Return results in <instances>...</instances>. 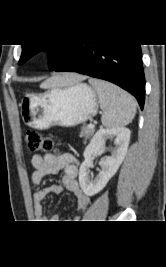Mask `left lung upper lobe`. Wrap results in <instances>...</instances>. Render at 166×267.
I'll list each match as a JSON object with an SVG mask.
<instances>
[{"label": "left lung upper lobe", "mask_w": 166, "mask_h": 267, "mask_svg": "<svg viewBox=\"0 0 166 267\" xmlns=\"http://www.w3.org/2000/svg\"><path fill=\"white\" fill-rule=\"evenodd\" d=\"M65 47L66 45H22V55L19 60V64L24 63L32 55L36 54L43 48L48 51L50 57L49 66L50 69H52L60 60Z\"/></svg>", "instance_id": "obj_1"}]
</instances>
